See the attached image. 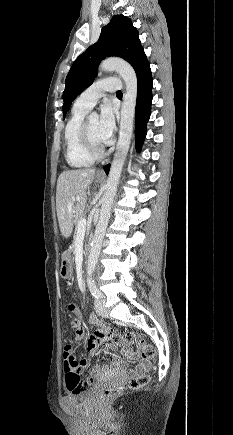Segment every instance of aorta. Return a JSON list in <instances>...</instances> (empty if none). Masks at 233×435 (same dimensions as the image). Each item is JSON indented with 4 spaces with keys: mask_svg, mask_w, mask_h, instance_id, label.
I'll use <instances>...</instances> for the list:
<instances>
[{
    "mask_svg": "<svg viewBox=\"0 0 233 435\" xmlns=\"http://www.w3.org/2000/svg\"><path fill=\"white\" fill-rule=\"evenodd\" d=\"M100 70L118 72L125 82L126 91L123 96V103L121 107L120 131L116 152L114 154L107 183L105 185V192L101 200L102 206L100 210V216L96 225L91 249L89 251L87 262L88 279H91L98 261L105 231L111 215V207L117 192V186L120 180L122 168L129 150L137 99V76L129 63L122 59L110 58L101 62ZM90 119H98V114L92 113L90 115Z\"/></svg>",
    "mask_w": 233,
    "mask_h": 435,
    "instance_id": "obj_1",
    "label": "aorta"
}]
</instances>
